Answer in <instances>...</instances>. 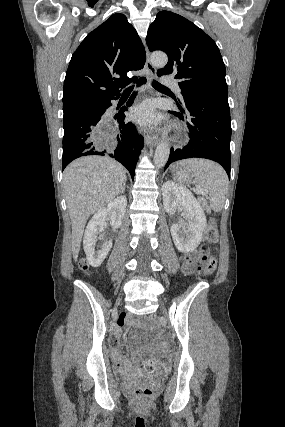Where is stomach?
Segmentation results:
<instances>
[{"mask_svg":"<svg viewBox=\"0 0 285 427\" xmlns=\"http://www.w3.org/2000/svg\"><path fill=\"white\" fill-rule=\"evenodd\" d=\"M172 173H173L174 179L179 181L180 183H183L186 185H191L196 183V178L194 173L186 167L173 166Z\"/></svg>","mask_w":285,"mask_h":427,"instance_id":"0dacf381","label":"stomach"}]
</instances>
